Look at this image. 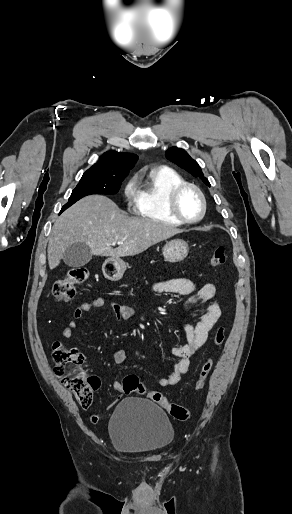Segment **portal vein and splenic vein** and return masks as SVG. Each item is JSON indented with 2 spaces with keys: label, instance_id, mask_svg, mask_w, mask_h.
Listing matches in <instances>:
<instances>
[{
  "label": "portal vein and splenic vein",
  "instance_id": "obj_1",
  "mask_svg": "<svg viewBox=\"0 0 292 514\" xmlns=\"http://www.w3.org/2000/svg\"><path fill=\"white\" fill-rule=\"evenodd\" d=\"M115 244H123V242H113L112 246H115Z\"/></svg>",
  "mask_w": 292,
  "mask_h": 514
}]
</instances>
